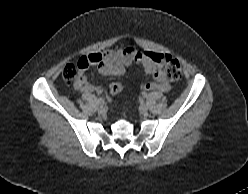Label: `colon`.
I'll return each instance as SVG.
<instances>
[{"label":"colon","mask_w":248,"mask_h":194,"mask_svg":"<svg viewBox=\"0 0 248 194\" xmlns=\"http://www.w3.org/2000/svg\"><path fill=\"white\" fill-rule=\"evenodd\" d=\"M153 60L162 66L163 73L168 80L177 81L181 78V66L177 59L170 55L155 54ZM97 63L92 55L82 57L77 63H69L65 66L62 72L63 80L66 84H72L79 78L81 72L86 70L90 65ZM122 84L119 82H113L111 84V90L114 93H119L122 90Z\"/></svg>","instance_id":"1"}]
</instances>
